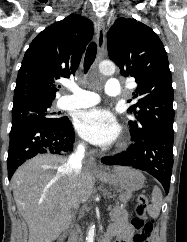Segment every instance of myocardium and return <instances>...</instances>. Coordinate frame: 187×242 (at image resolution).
<instances>
[{
    "label": "myocardium",
    "instance_id": "1",
    "mask_svg": "<svg viewBox=\"0 0 187 242\" xmlns=\"http://www.w3.org/2000/svg\"><path fill=\"white\" fill-rule=\"evenodd\" d=\"M128 144V138L127 137H122V139L119 142L120 147H124Z\"/></svg>",
    "mask_w": 187,
    "mask_h": 242
}]
</instances>
